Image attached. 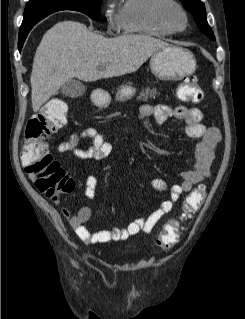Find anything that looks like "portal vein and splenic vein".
Segmentation results:
<instances>
[{
	"mask_svg": "<svg viewBox=\"0 0 245 319\" xmlns=\"http://www.w3.org/2000/svg\"><path fill=\"white\" fill-rule=\"evenodd\" d=\"M105 67H106L105 65H101L99 68L104 69Z\"/></svg>",
	"mask_w": 245,
	"mask_h": 319,
	"instance_id": "portal-vein-and-splenic-vein-1",
	"label": "portal vein and splenic vein"
}]
</instances>
